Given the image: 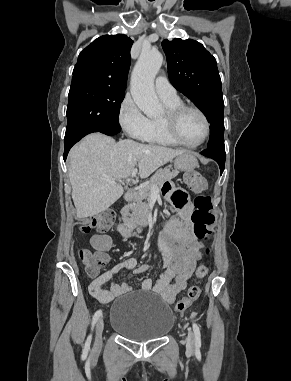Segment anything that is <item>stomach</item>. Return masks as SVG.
Listing matches in <instances>:
<instances>
[{
  "label": "stomach",
  "mask_w": 291,
  "mask_h": 381,
  "mask_svg": "<svg viewBox=\"0 0 291 381\" xmlns=\"http://www.w3.org/2000/svg\"><path fill=\"white\" fill-rule=\"evenodd\" d=\"M197 165V159L189 152L176 156L174 160V167L179 171H193Z\"/></svg>",
  "instance_id": "1"
}]
</instances>
